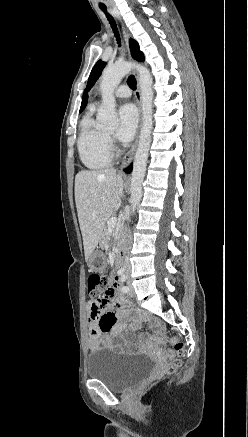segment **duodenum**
Instances as JSON below:
<instances>
[{"label": "duodenum", "mask_w": 248, "mask_h": 437, "mask_svg": "<svg viewBox=\"0 0 248 437\" xmlns=\"http://www.w3.org/2000/svg\"><path fill=\"white\" fill-rule=\"evenodd\" d=\"M125 251H126V248H125L124 244H121L117 247L116 255H117L118 262H121L123 260L124 255H125Z\"/></svg>", "instance_id": "410a0bca"}]
</instances>
